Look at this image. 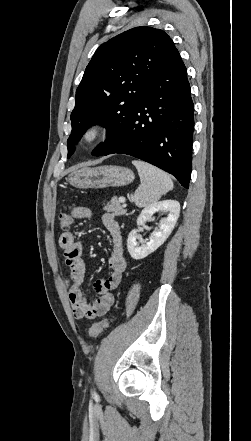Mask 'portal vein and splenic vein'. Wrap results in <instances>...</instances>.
<instances>
[{
  "label": "portal vein and splenic vein",
  "instance_id": "18ae733b",
  "mask_svg": "<svg viewBox=\"0 0 251 441\" xmlns=\"http://www.w3.org/2000/svg\"><path fill=\"white\" fill-rule=\"evenodd\" d=\"M119 201H120L121 203H125V198H124V197H120V198H119Z\"/></svg>",
  "mask_w": 251,
  "mask_h": 441
}]
</instances>
